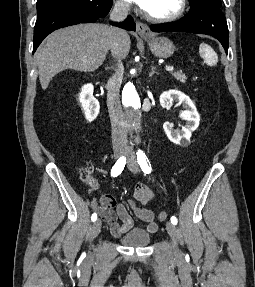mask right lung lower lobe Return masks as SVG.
I'll use <instances>...</instances> for the list:
<instances>
[{"label":"right lung lower lobe","instance_id":"obj_1","mask_svg":"<svg viewBox=\"0 0 255 287\" xmlns=\"http://www.w3.org/2000/svg\"><path fill=\"white\" fill-rule=\"evenodd\" d=\"M108 12L105 15H96L89 10L72 9L51 13L37 19L34 28L33 53L43 39L54 30L79 23H94L98 19L105 17ZM111 24L131 31L136 29L135 22L131 16H128L125 22H112Z\"/></svg>","mask_w":255,"mask_h":287}]
</instances>
